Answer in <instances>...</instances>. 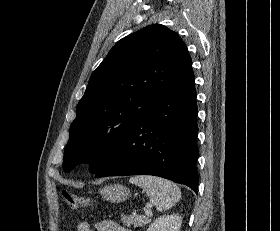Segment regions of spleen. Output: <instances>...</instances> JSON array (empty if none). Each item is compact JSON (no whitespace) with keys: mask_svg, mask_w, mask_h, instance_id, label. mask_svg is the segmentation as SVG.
Instances as JSON below:
<instances>
[{"mask_svg":"<svg viewBox=\"0 0 280 231\" xmlns=\"http://www.w3.org/2000/svg\"><path fill=\"white\" fill-rule=\"evenodd\" d=\"M130 183H136L145 189L147 195L155 203L158 211L173 207L181 197V191L173 181L156 177V175H135L130 177Z\"/></svg>","mask_w":280,"mask_h":231,"instance_id":"3e777b00","label":"spleen"}]
</instances>
